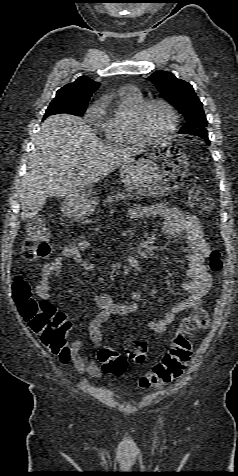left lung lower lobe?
Listing matches in <instances>:
<instances>
[{"label":"left lung lower lobe","instance_id":"obj_1","mask_svg":"<svg viewBox=\"0 0 238 476\" xmlns=\"http://www.w3.org/2000/svg\"><path fill=\"white\" fill-rule=\"evenodd\" d=\"M202 138H204L207 141V143H209L208 137H202Z\"/></svg>","mask_w":238,"mask_h":476}]
</instances>
